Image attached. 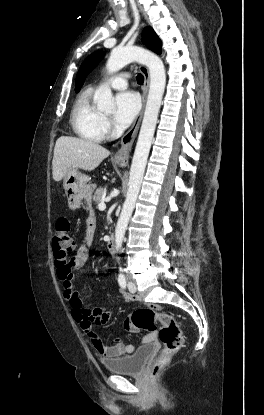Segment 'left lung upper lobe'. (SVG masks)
Here are the masks:
<instances>
[{"label": "left lung upper lobe", "mask_w": 264, "mask_h": 415, "mask_svg": "<svg viewBox=\"0 0 264 415\" xmlns=\"http://www.w3.org/2000/svg\"><path fill=\"white\" fill-rule=\"evenodd\" d=\"M143 42L144 44L151 49L152 51L160 54L161 53V41L154 32V30L148 26L143 31ZM103 57V52L97 51L92 53L90 56H88L84 62L81 64L80 69L77 74L76 78V91L78 92L87 75L97 66L99 61Z\"/></svg>", "instance_id": "1"}]
</instances>
